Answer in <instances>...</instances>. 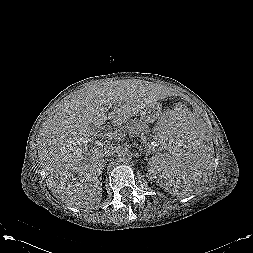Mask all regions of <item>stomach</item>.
<instances>
[{"label":"stomach","mask_w":253,"mask_h":253,"mask_svg":"<svg viewBox=\"0 0 253 253\" xmlns=\"http://www.w3.org/2000/svg\"><path fill=\"white\" fill-rule=\"evenodd\" d=\"M159 114V111H157L152 105L145 107L139 113L140 119L145 122H153Z\"/></svg>","instance_id":"0dacf381"}]
</instances>
